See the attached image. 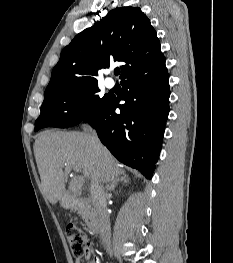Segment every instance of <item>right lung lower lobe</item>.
<instances>
[{
    "label": "right lung lower lobe",
    "instance_id": "right-lung-lower-lobe-1",
    "mask_svg": "<svg viewBox=\"0 0 233 263\" xmlns=\"http://www.w3.org/2000/svg\"><path fill=\"white\" fill-rule=\"evenodd\" d=\"M168 80L165 64L153 72L129 76L121 81L125 104L119 105V99L111 96L84 120L119 161L148 179L159 157L169 113Z\"/></svg>",
    "mask_w": 233,
    "mask_h": 263
}]
</instances>
